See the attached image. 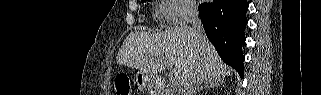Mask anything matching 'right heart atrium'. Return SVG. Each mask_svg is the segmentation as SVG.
I'll use <instances>...</instances> for the list:
<instances>
[{
  "mask_svg": "<svg viewBox=\"0 0 321 95\" xmlns=\"http://www.w3.org/2000/svg\"><path fill=\"white\" fill-rule=\"evenodd\" d=\"M158 15L169 25L189 22L196 13V7L191 0H165L158 5Z\"/></svg>",
  "mask_w": 321,
  "mask_h": 95,
  "instance_id": "obj_1",
  "label": "right heart atrium"
}]
</instances>
